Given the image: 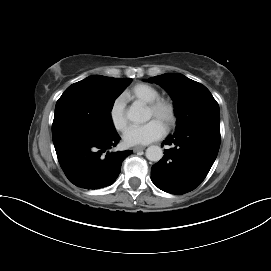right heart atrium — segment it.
Listing matches in <instances>:
<instances>
[{
	"mask_svg": "<svg viewBox=\"0 0 271 271\" xmlns=\"http://www.w3.org/2000/svg\"><path fill=\"white\" fill-rule=\"evenodd\" d=\"M109 118L113 127L122 131L127 125V116H126V102L125 98L120 95L117 96L109 109Z\"/></svg>",
	"mask_w": 271,
	"mask_h": 271,
	"instance_id": "d8ad5b80",
	"label": "right heart atrium"
}]
</instances>
